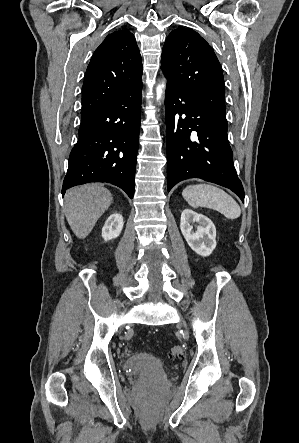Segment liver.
Wrapping results in <instances>:
<instances>
[{"label": "liver", "instance_id": "6515ba94", "mask_svg": "<svg viewBox=\"0 0 299 443\" xmlns=\"http://www.w3.org/2000/svg\"><path fill=\"white\" fill-rule=\"evenodd\" d=\"M112 200L111 192L100 184L68 190L64 197V211L73 233L80 239L86 238Z\"/></svg>", "mask_w": 299, "mask_h": 443}]
</instances>
